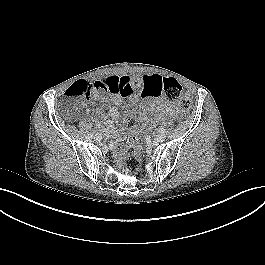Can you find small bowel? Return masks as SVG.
Instances as JSON below:
<instances>
[{
    "label": "small bowel",
    "instance_id": "obj_1",
    "mask_svg": "<svg viewBox=\"0 0 265 265\" xmlns=\"http://www.w3.org/2000/svg\"><path fill=\"white\" fill-rule=\"evenodd\" d=\"M162 78L163 76L159 74L144 75L137 78L119 75L97 77L93 80V83L98 84L100 87H95L96 91L94 97L95 99L101 100L104 98L103 93L108 91L109 99L111 101V106L108 112L109 117L111 119H118L120 117L119 109L122 105V98L135 105L139 101V92L144 100L155 97L152 95V80H161ZM152 108L159 113L165 110L170 111L172 106L167 105L162 99H159L153 103ZM148 110V105L144 104L141 112L133 113L134 117L142 119L143 114ZM105 123L110 124V121L106 120Z\"/></svg>",
    "mask_w": 265,
    "mask_h": 265
}]
</instances>
